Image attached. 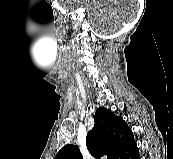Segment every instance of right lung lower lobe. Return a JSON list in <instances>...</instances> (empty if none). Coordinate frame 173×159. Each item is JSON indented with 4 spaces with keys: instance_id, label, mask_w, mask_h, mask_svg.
Wrapping results in <instances>:
<instances>
[{
    "instance_id": "right-lung-lower-lobe-1",
    "label": "right lung lower lobe",
    "mask_w": 173,
    "mask_h": 159,
    "mask_svg": "<svg viewBox=\"0 0 173 159\" xmlns=\"http://www.w3.org/2000/svg\"><path fill=\"white\" fill-rule=\"evenodd\" d=\"M126 159H140L139 156V150H135L134 152H132L131 154H129Z\"/></svg>"
}]
</instances>
